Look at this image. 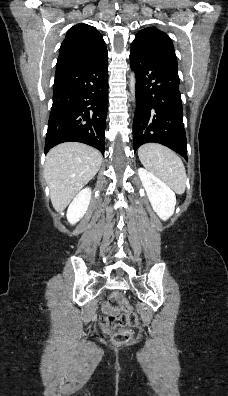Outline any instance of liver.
<instances>
[{"mask_svg":"<svg viewBox=\"0 0 228 396\" xmlns=\"http://www.w3.org/2000/svg\"><path fill=\"white\" fill-rule=\"evenodd\" d=\"M101 153L86 144L67 142L52 148L44 167V178L57 212L63 211L74 196L96 175Z\"/></svg>","mask_w":228,"mask_h":396,"instance_id":"6515ba94","label":"liver"}]
</instances>
